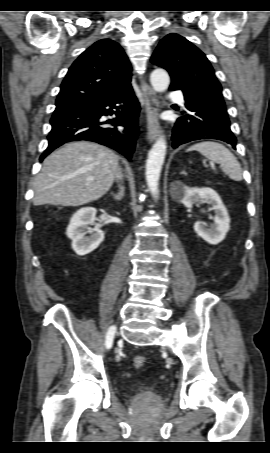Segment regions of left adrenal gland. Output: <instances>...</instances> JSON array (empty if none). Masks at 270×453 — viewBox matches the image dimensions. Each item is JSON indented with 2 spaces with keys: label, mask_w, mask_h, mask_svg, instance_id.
I'll return each instance as SVG.
<instances>
[{
  "label": "left adrenal gland",
  "mask_w": 270,
  "mask_h": 453,
  "mask_svg": "<svg viewBox=\"0 0 270 453\" xmlns=\"http://www.w3.org/2000/svg\"><path fill=\"white\" fill-rule=\"evenodd\" d=\"M181 174L187 175V173H186L185 170H183V171L181 172Z\"/></svg>",
  "instance_id": "a2214340"
}]
</instances>
